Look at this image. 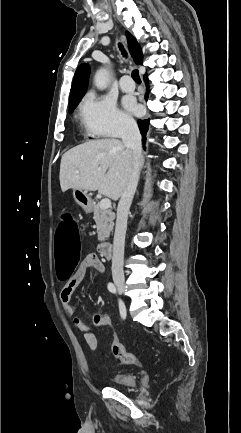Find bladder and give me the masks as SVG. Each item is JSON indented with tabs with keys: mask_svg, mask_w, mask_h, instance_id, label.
Instances as JSON below:
<instances>
[{
	"mask_svg": "<svg viewBox=\"0 0 241 433\" xmlns=\"http://www.w3.org/2000/svg\"><path fill=\"white\" fill-rule=\"evenodd\" d=\"M111 381L113 382V386L119 388H130L135 386L136 378L131 373L119 372L115 373L111 377Z\"/></svg>",
	"mask_w": 241,
	"mask_h": 433,
	"instance_id": "31cf9c89",
	"label": "bladder"
}]
</instances>
